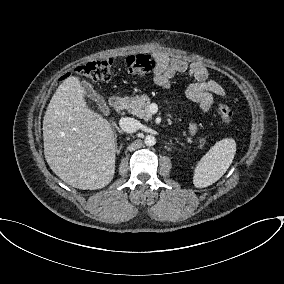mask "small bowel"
<instances>
[{
    "label": "small bowel",
    "instance_id": "obj_1",
    "mask_svg": "<svg viewBox=\"0 0 284 284\" xmlns=\"http://www.w3.org/2000/svg\"><path fill=\"white\" fill-rule=\"evenodd\" d=\"M157 68L153 74L154 83L160 88H168L176 74H187L194 81L185 90L186 97L197 103L204 114L211 112L214 97L225 96L223 87L215 80L209 78L207 68L199 63H189L179 57H171L164 53H156ZM197 131L195 124L190 125L189 132Z\"/></svg>",
    "mask_w": 284,
    "mask_h": 284
}]
</instances>
